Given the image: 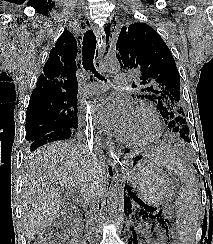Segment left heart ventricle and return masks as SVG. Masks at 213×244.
<instances>
[{
  "label": "left heart ventricle",
  "instance_id": "left-heart-ventricle-1",
  "mask_svg": "<svg viewBox=\"0 0 213 244\" xmlns=\"http://www.w3.org/2000/svg\"><path fill=\"white\" fill-rule=\"evenodd\" d=\"M154 125L151 119L138 112H132L130 120L120 132L121 136L129 140H143L152 136Z\"/></svg>",
  "mask_w": 213,
  "mask_h": 244
}]
</instances>
